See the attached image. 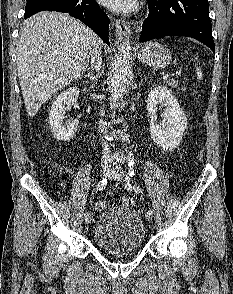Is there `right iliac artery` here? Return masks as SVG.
Masks as SVG:
<instances>
[{
	"label": "right iliac artery",
	"instance_id": "obj_1",
	"mask_svg": "<svg viewBox=\"0 0 233 294\" xmlns=\"http://www.w3.org/2000/svg\"><path fill=\"white\" fill-rule=\"evenodd\" d=\"M107 179L106 178H104L102 181H100L98 184H97V187H96V189L97 190H99V191H101V190H103L105 187H106V185H107ZM85 217H88L89 215H90V213L89 212H85Z\"/></svg>",
	"mask_w": 233,
	"mask_h": 294
}]
</instances>
